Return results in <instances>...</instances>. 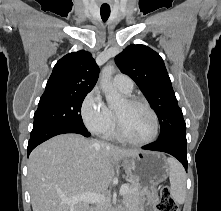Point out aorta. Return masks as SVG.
Masks as SVG:
<instances>
[{
	"instance_id": "obj_1",
	"label": "aorta",
	"mask_w": 221,
	"mask_h": 211,
	"mask_svg": "<svg viewBox=\"0 0 221 211\" xmlns=\"http://www.w3.org/2000/svg\"><path fill=\"white\" fill-rule=\"evenodd\" d=\"M114 72V66L107 65L103 68L100 75V88L105 94L107 104L110 108H115L123 102L121 94L112 84V74Z\"/></svg>"
}]
</instances>
